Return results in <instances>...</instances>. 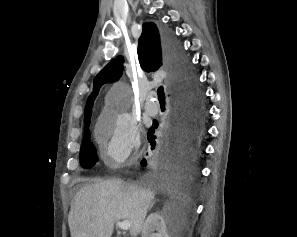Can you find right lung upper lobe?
Segmentation results:
<instances>
[{"label":"right lung upper lobe","instance_id":"1","mask_svg":"<svg viewBox=\"0 0 297 237\" xmlns=\"http://www.w3.org/2000/svg\"><path fill=\"white\" fill-rule=\"evenodd\" d=\"M137 52L139 63L145 71H156L161 66L168 67L163 45L162 31H159L156 25L152 22L143 24L142 33L138 40ZM122 63L123 57H116L94 78L93 92L88 97L85 107L86 126L90 124L93 103L98 95L100 87L105 83L113 82L121 77L123 70Z\"/></svg>","mask_w":297,"mask_h":237}]
</instances>
